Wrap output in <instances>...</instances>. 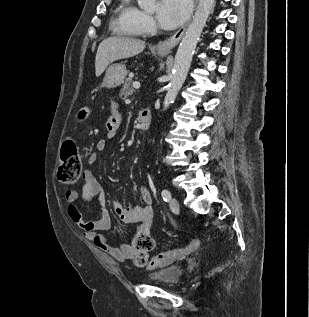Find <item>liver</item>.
Segmentation results:
<instances>
[{"mask_svg":"<svg viewBox=\"0 0 309 317\" xmlns=\"http://www.w3.org/2000/svg\"><path fill=\"white\" fill-rule=\"evenodd\" d=\"M145 42L128 37H109L104 39L97 49L95 58V73L99 77L108 65L119 59H125L141 53Z\"/></svg>","mask_w":309,"mask_h":317,"instance_id":"liver-1","label":"liver"}]
</instances>
